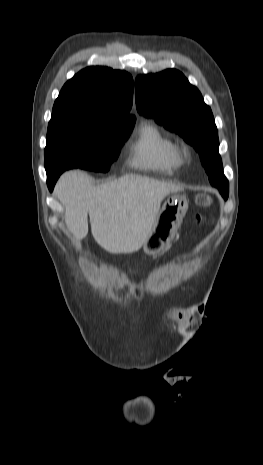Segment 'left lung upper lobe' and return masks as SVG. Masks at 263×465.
Instances as JSON below:
<instances>
[{
  "mask_svg": "<svg viewBox=\"0 0 263 465\" xmlns=\"http://www.w3.org/2000/svg\"><path fill=\"white\" fill-rule=\"evenodd\" d=\"M135 99L140 114L152 117L157 123L178 133L199 152L200 157L213 156L222 164L212 111L199 90L181 72L167 69L157 74L138 76L135 81ZM214 179L212 185L220 189L226 200L229 183L223 167Z\"/></svg>",
  "mask_w": 263,
  "mask_h": 465,
  "instance_id": "5c2ea615",
  "label": "left lung upper lobe"
}]
</instances>
